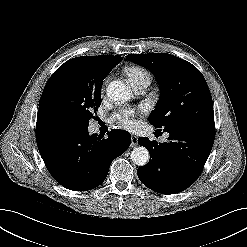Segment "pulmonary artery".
<instances>
[{"label": "pulmonary artery", "mask_w": 247, "mask_h": 247, "mask_svg": "<svg viewBox=\"0 0 247 247\" xmlns=\"http://www.w3.org/2000/svg\"><path fill=\"white\" fill-rule=\"evenodd\" d=\"M150 81L149 77H140L131 82V86L136 93H140L149 86Z\"/></svg>", "instance_id": "obj_1"}]
</instances>
